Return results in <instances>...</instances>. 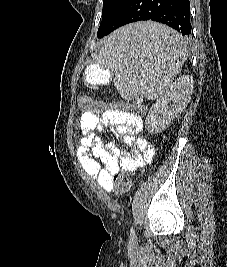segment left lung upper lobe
Here are the masks:
<instances>
[{
    "label": "left lung upper lobe",
    "instance_id": "5c2ea615",
    "mask_svg": "<svg viewBox=\"0 0 227 267\" xmlns=\"http://www.w3.org/2000/svg\"><path fill=\"white\" fill-rule=\"evenodd\" d=\"M128 0H103L102 22L100 27L113 19L124 7Z\"/></svg>",
    "mask_w": 227,
    "mask_h": 267
}]
</instances>
